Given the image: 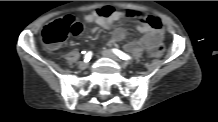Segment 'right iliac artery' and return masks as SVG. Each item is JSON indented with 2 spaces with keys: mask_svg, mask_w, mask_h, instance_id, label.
I'll return each instance as SVG.
<instances>
[{
  "mask_svg": "<svg viewBox=\"0 0 218 122\" xmlns=\"http://www.w3.org/2000/svg\"><path fill=\"white\" fill-rule=\"evenodd\" d=\"M91 57H92V52L91 51L87 52L84 56V61L85 62L89 61Z\"/></svg>",
  "mask_w": 218,
  "mask_h": 122,
  "instance_id": "1",
  "label": "right iliac artery"
}]
</instances>
